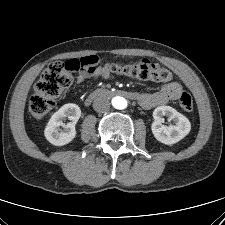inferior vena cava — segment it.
<instances>
[{
    "instance_id": "1",
    "label": "inferior vena cava",
    "mask_w": 225,
    "mask_h": 225,
    "mask_svg": "<svg viewBox=\"0 0 225 225\" xmlns=\"http://www.w3.org/2000/svg\"><path fill=\"white\" fill-rule=\"evenodd\" d=\"M93 108L99 113H105L110 109V102L105 97H96L93 102Z\"/></svg>"
}]
</instances>
